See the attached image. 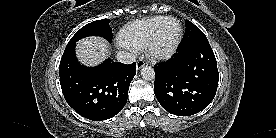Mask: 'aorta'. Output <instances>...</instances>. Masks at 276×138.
Segmentation results:
<instances>
[{"instance_id": "aorta-1", "label": "aorta", "mask_w": 276, "mask_h": 138, "mask_svg": "<svg viewBox=\"0 0 276 138\" xmlns=\"http://www.w3.org/2000/svg\"><path fill=\"white\" fill-rule=\"evenodd\" d=\"M141 77L144 80H153L154 77H155V71H154V69L152 67H150V66H144L141 69Z\"/></svg>"}]
</instances>
